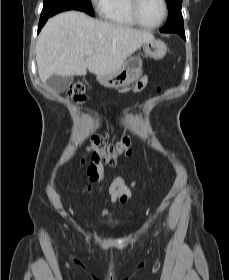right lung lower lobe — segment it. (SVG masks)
<instances>
[{
  "label": "right lung lower lobe",
  "instance_id": "right-lung-lower-lobe-1",
  "mask_svg": "<svg viewBox=\"0 0 229 280\" xmlns=\"http://www.w3.org/2000/svg\"><path fill=\"white\" fill-rule=\"evenodd\" d=\"M63 11H66V10H63ZM59 12H62V11H59ZM59 12H57V13H59ZM57 13H55V14H57ZM55 14H54V15H55ZM51 16H53V15H51ZM51 16H47V15H41V16H40V21H39V26H38V32L41 30V28L43 27V25L46 23V21L48 20V18L51 17Z\"/></svg>",
  "mask_w": 229,
  "mask_h": 280
}]
</instances>
